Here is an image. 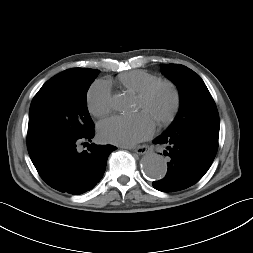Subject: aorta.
Returning a JSON list of instances; mask_svg holds the SVG:
<instances>
[{
	"label": "aorta",
	"mask_w": 253,
	"mask_h": 253,
	"mask_svg": "<svg viewBox=\"0 0 253 253\" xmlns=\"http://www.w3.org/2000/svg\"><path fill=\"white\" fill-rule=\"evenodd\" d=\"M132 106V100L127 95L118 94L112 99V107L117 111L128 112L132 109ZM140 165L143 174L152 180L162 179L167 172L166 162L154 152L146 153L142 157Z\"/></svg>",
	"instance_id": "1"
}]
</instances>
